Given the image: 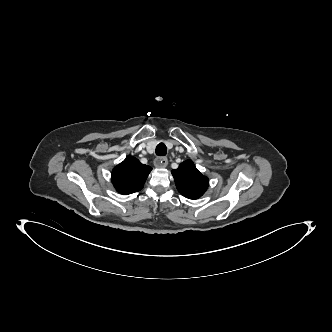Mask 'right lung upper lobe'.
<instances>
[{"label":"right lung upper lobe","instance_id":"cb5924a9","mask_svg":"<svg viewBox=\"0 0 332 332\" xmlns=\"http://www.w3.org/2000/svg\"><path fill=\"white\" fill-rule=\"evenodd\" d=\"M152 168L142 164L133 156H128L112 171V183L116 191L128 195L140 191Z\"/></svg>","mask_w":332,"mask_h":332}]
</instances>
